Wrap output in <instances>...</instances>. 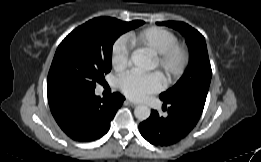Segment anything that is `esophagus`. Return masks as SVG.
Masks as SVG:
<instances>
[{
    "label": "esophagus",
    "mask_w": 261,
    "mask_h": 162,
    "mask_svg": "<svg viewBox=\"0 0 261 162\" xmlns=\"http://www.w3.org/2000/svg\"><path fill=\"white\" fill-rule=\"evenodd\" d=\"M125 102H126L127 104L133 106V107H134V106H137L136 103H134V102H132V101H130V100H125Z\"/></svg>",
    "instance_id": "obj_1"
}]
</instances>
